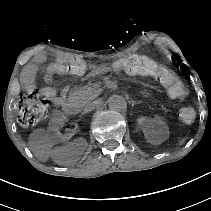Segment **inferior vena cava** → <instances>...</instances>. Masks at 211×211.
Segmentation results:
<instances>
[{
    "label": "inferior vena cava",
    "mask_w": 211,
    "mask_h": 211,
    "mask_svg": "<svg viewBox=\"0 0 211 211\" xmlns=\"http://www.w3.org/2000/svg\"><path fill=\"white\" fill-rule=\"evenodd\" d=\"M96 107V103L95 102H91L89 103L85 108H84V113H90L91 111H93Z\"/></svg>",
    "instance_id": "602c4592"
}]
</instances>
